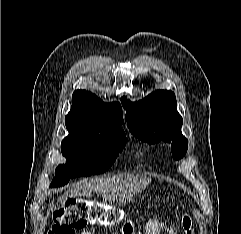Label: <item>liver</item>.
Returning a JSON list of instances; mask_svg holds the SVG:
<instances>
[{
    "instance_id": "6515ba94",
    "label": "liver",
    "mask_w": 241,
    "mask_h": 234,
    "mask_svg": "<svg viewBox=\"0 0 241 234\" xmlns=\"http://www.w3.org/2000/svg\"><path fill=\"white\" fill-rule=\"evenodd\" d=\"M151 183V178L144 175L118 174L107 178L87 180L77 183L58 199L61 205L67 198L91 197L94 191L102 194L109 202L126 203Z\"/></svg>"
}]
</instances>
